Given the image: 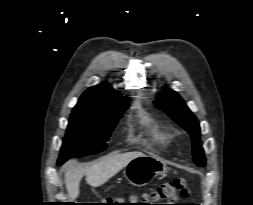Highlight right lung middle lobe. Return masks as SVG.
Returning a JSON list of instances; mask_svg holds the SVG:
<instances>
[{
	"instance_id": "obj_1",
	"label": "right lung middle lobe",
	"mask_w": 253,
	"mask_h": 205,
	"mask_svg": "<svg viewBox=\"0 0 253 205\" xmlns=\"http://www.w3.org/2000/svg\"><path fill=\"white\" fill-rule=\"evenodd\" d=\"M129 107V100L112 106L105 114L98 115L73 111L71 114L58 165L71 157L96 154L106 149V141L118 119Z\"/></svg>"
}]
</instances>
